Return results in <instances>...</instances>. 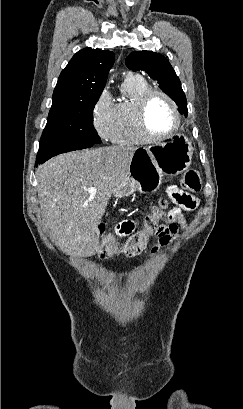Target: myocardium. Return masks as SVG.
Returning <instances> with one entry per match:
<instances>
[{"label": "myocardium", "instance_id": "1", "mask_svg": "<svg viewBox=\"0 0 243 409\" xmlns=\"http://www.w3.org/2000/svg\"><path fill=\"white\" fill-rule=\"evenodd\" d=\"M155 95L163 97L169 103L175 118L174 127L168 133L163 135H155L151 133L146 123L147 106L150 99ZM133 119L135 128L139 135L142 137V139L149 142H156L169 138L176 134L181 126V115L176 102L170 95L160 89H149L139 97L133 109Z\"/></svg>", "mask_w": 243, "mask_h": 409}]
</instances>
